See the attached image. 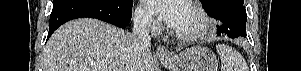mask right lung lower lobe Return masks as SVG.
<instances>
[{"instance_id": "obj_1", "label": "right lung lower lobe", "mask_w": 301, "mask_h": 71, "mask_svg": "<svg viewBox=\"0 0 301 71\" xmlns=\"http://www.w3.org/2000/svg\"><path fill=\"white\" fill-rule=\"evenodd\" d=\"M133 0H66L53 5L48 37L72 19L89 17L125 28L131 21Z\"/></svg>"}]
</instances>
